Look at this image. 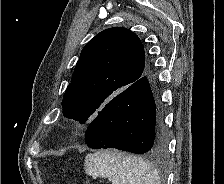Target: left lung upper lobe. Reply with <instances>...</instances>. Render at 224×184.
<instances>
[{
	"instance_id": "1",
	"label": "left lung upper lobe",
	"mask_w": 224,
	"mask_h": 184,
	"mask_svg": "<svg viewBox=\"0 0 224 184\" xmlns=\"http://www.w3.org/2000/svg\"><path fill=\"white\" fill-rule=\"evenodd\" d=\"M149 70L138 36L123 27L98 33L82 49L63 100V115L84 124Z\"/></svg>"
}]
</instances>
